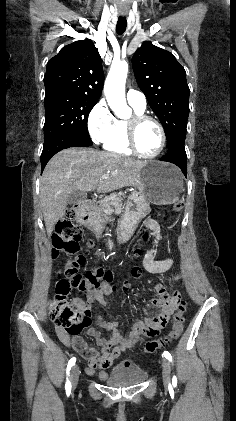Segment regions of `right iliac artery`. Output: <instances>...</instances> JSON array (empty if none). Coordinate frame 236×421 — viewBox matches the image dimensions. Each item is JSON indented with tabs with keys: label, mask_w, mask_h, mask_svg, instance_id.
Masks as SVG:
<instances>
[{
	"label": "right iliac artery",
	"mask_w": 236,
	"mask_h": 421,
	"mask_svg": "<svg viewBox=\"0 0 236 421\" xmlns=\"http://www.w3.org/2000/svg\"><path fill=\"white\" fill-rule=\"evenodd\" d=\"M75 362H76V358H75V357H73V358H71V359L69 360L68 365H67V370H66V374H67V376H69L70 369H71V367H72L73 365H75ZM65 389H66V392H68V393H70V392H71V383H70V381L68 380V377H67V381H66V384H65Z\"/></svg>",
	"instance_id": "obj_1"
}]
</instances>
